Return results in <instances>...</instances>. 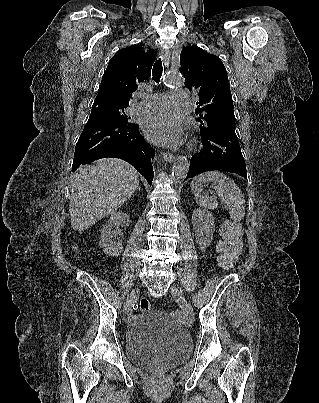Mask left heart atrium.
<instances>
[{"label": "left heart atrium", "mask_w": 319, "mask_h": 403, "mask_svg": "<svg viewBox=\"0 0 319 403\" xmlns=\"http://www.w3.org/2000/svg\"><path fill=\"white\" fill-rule=\"evenodd\" d=\"M142 129L149 141L162 146H177L184 139L183 123L176 114L171 112L147 116Z\"/></svg>", "instance_id": "39dd6f15"}]
</instances>
